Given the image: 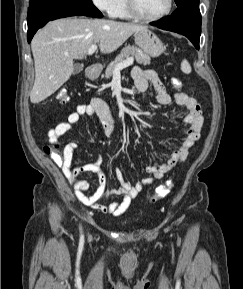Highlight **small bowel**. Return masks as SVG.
<instances>
[{
	"mask_svg": "<svg viewBox=\"0 0 243 289\" xmlns=\"http://www.w3.org/2000/svg\"><path fill=\"white\" fill-rule=\"evenodd\" d=\"M131 75L135 87L139 92L146 93L150 86L155 89L156 101L159 105L166 106L174 101L177 105L186 108L183 121L187 127L183 131L184 138L180 146L173 152L172 156L166 162L148 165L146 167L148 177L138 181L136 184L132 185L125 180L122 171L116 168L115 175L119 186L112 190H106V176L100 168V159L72 168L73 152L77 148V143L75 141H69L64 146V162L61 168L68 183L74 188L77 200L86 206L114 216H119L124 213L135 197L146 186L160 180L166 173L186 160L190 149L200 138L203 124L201 108L194 97L183 92H177L171 96L154 70L135 67ZM84 116H96L106 136L112 137L114 135L115 120L108 105L103 99L95 97L89 104L78 105L75 111L69 114L66 121L58 122L50 128L48 131L50 144L59 145L61 137L71 129L72 125L76 124ZM81 172H92L98 177V187L91 194H87L90 190L89 182L79 178ZM115 196L120 197V199L112 201L108 205L100 204V202L107 201Z\"/></svg>",
	"mask_w": 243,
	"mask_h": 289,
	"instance_id": "small-bowel-1",
	"label": "small bowel"
}]
</instances>
